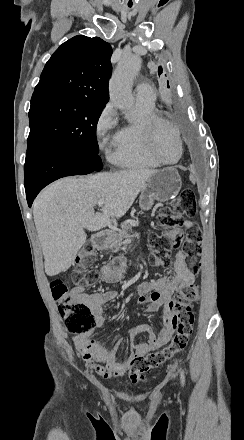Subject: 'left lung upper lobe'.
<instances>
[{
  "instance_id": "obj_1",
  "label": "left lung upper lobe",
  "mask_w": 244,
  "mask_h": 440,
  "mask_svg": "<svg viewBox=\"0 0 244 440\" xmlns=\"http://www.w3.org/2000/svg\"><path fill=\"white\" fill-rule=\"evenodd\" d=\"M162 68L161 67H159V69H158V74H159V76L162 74ZM167 83H169V82H167ZM168 88H169V85L167 86Z\"/></svg>"
}]
</instances>
